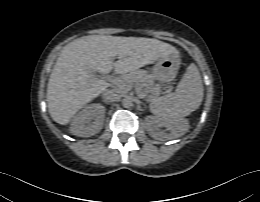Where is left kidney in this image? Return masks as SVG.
Listing matches in <instances>:
<instances>
[{
  "mask_svg": "<svg viewBox=\"0 0 260 202\" xmlns=\"http://www.w3.org/2000/svg\"><path fill=\"white\" fill-rule=\"evenodd\" d=\"M147 119L151 122L149 127V134L154 139H161L163 137V134L159 131L161 127H165L167 130L171 131V134L169 135L170 139L176 137L177 130L180 125L179 121L171 119H160L157 117H148Z\"/></svg>",
  "mask_w": 260,
  "mask_h": 202,
  "instance_id": "5707ae66",
  "label": "left kidney"
}]
</instances>
